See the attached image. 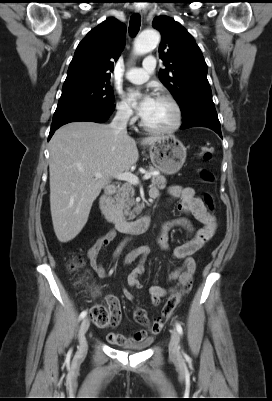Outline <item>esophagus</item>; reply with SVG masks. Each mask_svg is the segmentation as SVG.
<instances>
[{
	"label": "esophagus",
	"instance_id": "esophagus-1",
	"mask_svg": "<svg viewBox=\"0 0 272 401\" xmlns=\"http://www.w3.org/2000/svg\"><path fill=\"white\" fill-rule=\"evenodd\" d=\"M136 12L139 13L141 16H144L146 14V10L143 8H137Z\"/></svg>",
	"mask_w": 272,
	"mask_h": 401
}]
</instances>
